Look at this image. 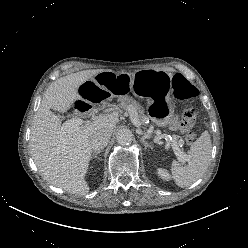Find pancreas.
<instances>
[{
	"instance_id": "pancreas-1",
	"label": "pancreas",
	"mask_w": 248,
	"mask_h": 248,
	"mask_svg": "<svg viewBox=\"0 0 248 248\" xmlns=\"http://www.w3.org/2000/svg\"><path fill=\"white\" fill-rule=\"evenodd\" d=\"M120 107L128 112L130 109H134L137 113H139L140 123H144L148 119V117L144 114V111L141 109L139 103L132 97L124 98L120 103Z\"/></svg>"
}]
</instances>
